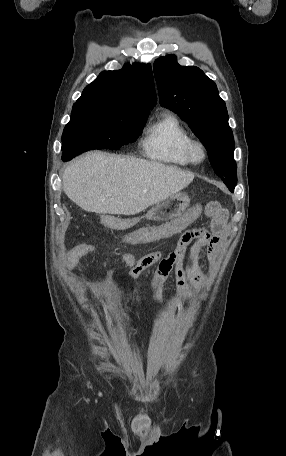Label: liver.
Wrapping results in <instances>:
<instances>
[{
    "label": "liver",
    "instance_id": "obj_1",
    "mask_svg": "<svg viewBox=\"0 0 286 456\" xmlns=\"http://www.w3.org/2000/svg\"><path fill=\"white\" fill-rule=\"evenodd\" d=\"M194 174L159 162L101 151L71 162L63 191L87 212L135 215L187 187Z\"/></svg>",
    "mask_w": 286,
    "mask_h": 456
}]
</instances>
